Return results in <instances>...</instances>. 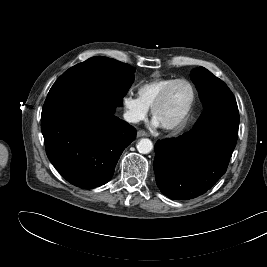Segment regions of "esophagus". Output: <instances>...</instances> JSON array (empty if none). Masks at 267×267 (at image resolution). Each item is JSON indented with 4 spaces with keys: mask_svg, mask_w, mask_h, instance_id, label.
Returning a JSON list of instances; mask_svg holds the SVG:
<instances>
[{
    "mask_svg": "<svg viewBox=\"0 0 267 267\" xmlns=\"http://www.w3.org/2000/svg\"><path fill=\"white\" fill-rule=\"evenodd\" d=\"M145 136H148V133L143 131V130H139L137 132V137H145Z\"/></svg>",
    "mask_w": 267,
    "mask_h": 267,
    "instance_id": "esophagus-1",
    "label": "esophagus"
}]
</instances>
